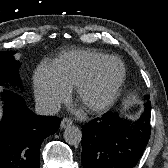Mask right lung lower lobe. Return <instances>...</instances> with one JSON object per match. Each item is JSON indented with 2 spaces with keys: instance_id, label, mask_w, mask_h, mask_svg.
Here are the masks:
<instances>
[{
  "instance_id": "obj_1",
  "label": "right lung lower lobe",
  "mask_w": 168,
  "mask_h": 168,
  "mask_svg": "<svg viewBox=\"0 0 168 168\" xmlns=\"http://www.w3.org/2000/svg\"><path fill=\"white\" fill-rule=\"evenodd\" d=\"M2 96L5 106L0 122V168H39L41 144L58 130L61 120L35 115L13 91L5 90Z\"/></svg>"
}]
</instances>
